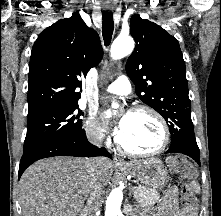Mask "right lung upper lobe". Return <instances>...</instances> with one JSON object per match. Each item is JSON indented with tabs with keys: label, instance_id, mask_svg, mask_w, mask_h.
Masks as SVG:
<instances>
[{
	"label": "right lung upper lobe",
	"instance_id": "right-lung-upper-lobe-1",
	"mask_svg": "<svg viewBox=\"0 0 221 216\" xmlns=\"http://www.w3.org/2000/svg\"><path fill=\"white\" fill-rule=\"evenodd\" d=\"M99 35L79 13L46 28L33 45L29 66L28 116L78 104L82 80L102 58Z\"/></svg>",
	"mask_w": 221,
	"mask_h": 216
}]
</instances>
